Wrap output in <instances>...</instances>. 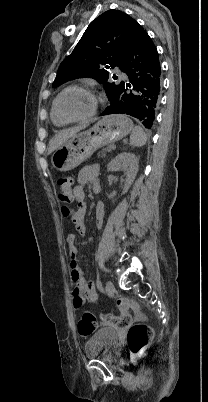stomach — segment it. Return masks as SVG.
<instances>
[{"mask_svg": "<svg viewBox=\"0 0 208 402\" xmlns=\"http://www.w3.org/2000/svg\"><path fill=\"white\" fill-rule=\"evenodd\" d=\"M133 130V124L123 114L104 116L93 128L81 132L54 152L51 162L55 170L68 172L90 158L96 150L114 144L125 138Z\"/></svg>", "mask_w": 208, "mask_h": 402, "instance_id": "0dacf381", "label": "stomach"}]
</instances>
